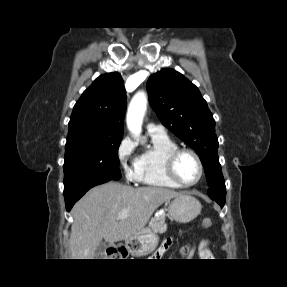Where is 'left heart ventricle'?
<instances>
[{
  "label": "left heart ventricle",
  "mask_w": 287,
  "mask_h": 287,
  "mask_svg": "<svg viewBox=\"0 0 287 287\" xmlns=\"http://www.w3.org/2000/svg\"><path fill=\"white\" fill-rule=\"evenodd\" d=\"M176 172L183 183L190 184L198 178L199 167L193 156L182 154L176 162Z\"/></svg>",
  "instance_id": "1"
}]
</instances>
